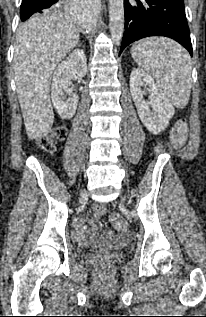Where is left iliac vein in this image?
<instances>
[{
	"label": "left iliac vein",
	"instance_id": "1",
	"mask_svg": "<svg viewBox=\"0 0 206 317\" xmlns=\"http://www.w3.org/2000/svg\"><path fill=\"white\" fill-rule=\"evenodd\" d=\"M121 199H122V201H125V200H126V197H125V196H122Z\"/></svg>",
	"mask_w": 206,
	"mask_h": 317
}]
</instances>
